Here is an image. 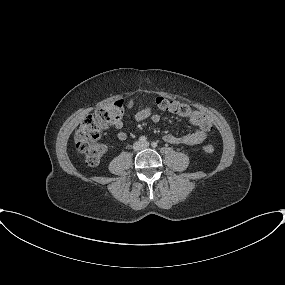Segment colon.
Segmentation results:
<instances>
[{"instance_id":"obj_1","label":"colon","mask_w":285,"mask_h":285,"mask_svg":"<svg viewBox=\"0 0 285 285\" xmlns=\"http://www.w3.org/2000/svg\"><path fill=\"white\" fill-rule=\"evenodd\" d=\"M154 104L163 111L187 118L193 125L210 129L204 114L188 104L163 97H157ZM133 106V101L117 100L101 105L93 114L83 119L75 132V141L78 151L84 154L88 165H98L106 153V146L99 141L103 128L119 120L126 107ZM203 150L205 153L211 154L215 148L213 145L207 144Z\"/></svg>"}]
</instances>
